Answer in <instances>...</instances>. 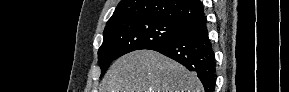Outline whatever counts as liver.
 <instances>
[{
    "label": "liver",
    "instance_id": "6515ba94",
    "mask_svg": "<svg viewBox=\"0 0 289 92\" xmlns=\"http://www.w3.org/2000/svg\"><path fill=\"white\" fill-rule=\"evenodd\" d=\"M101 92H203L196 73L152 50H137L117 59Z\"/></svg>",
    "mask_w": 289,
    "mask_h": 92
}]
</instances>
